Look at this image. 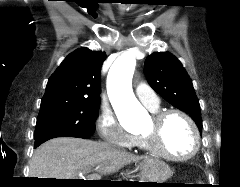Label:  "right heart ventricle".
I'll return each instance as SVG.
<instances>
[{"label":"right heart ventricle","instance_id":"obj_1","mask_svg":"<svg viewBox=\"0 0 240 187\" xmlns=\"http://www.w3.org/2000/svg\"><path fill=\"white\" fill-rule=\"evenodd\" d=\"M156 111V110H155ZM136 145H138L141 148H144L143 141L140 138H137Z\"/></svg>","mask_w":240,"mask_h":187}]
</instances>
